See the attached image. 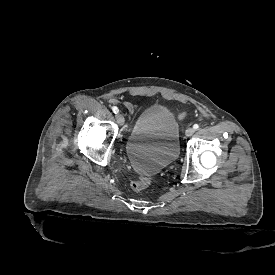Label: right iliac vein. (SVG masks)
<instances>
[{
  "instance_id": "1",
  "label": "right iliac vein",
  "mask_w": 275,
  "mask_h": 275,
  "mask_svg": "<svg viewBox=\"0 0 275 275\" xmlns=\"http://www.w3.org/2000/svg\"><path fill=\"white\" fill-rule=\"evenodd\" d=\"M116 120H117V122H118L120 125H123V124H124V118H123V116H122L121 114H118V115L116 116Z\"/></svg>"
}]
</instances>
